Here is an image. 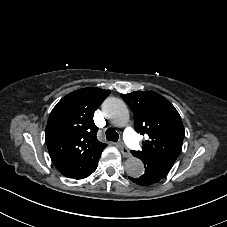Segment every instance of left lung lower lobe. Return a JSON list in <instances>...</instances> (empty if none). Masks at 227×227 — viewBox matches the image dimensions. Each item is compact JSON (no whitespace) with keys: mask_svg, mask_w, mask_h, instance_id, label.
Instances as JSON below:
<instances>
[{"mask_svg":"<svg viewBox=\"0 0 227 227\" xmlns=\"http://www.w3.org/2000/svg\"><path fill=\"white\" fill-rule=\"evenodd\" d=\"M164 177L165 176H163L156 170L146 168L145 173L141 177H139V178L129 177V179L136 184L143 185V186H149L151 184L159 182Z\"/></svg>","mask_w":227,"mask_h":227,"instance_id":"1","label":"left lung lower lobe"}]
</instances>
